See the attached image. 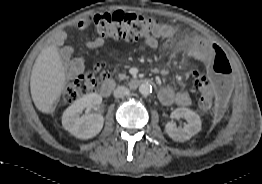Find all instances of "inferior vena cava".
<instances>
[{
	"label": "inferior vena cava",
	"instance_id": "602c4592",
	"mask_svg": "<svg viewBox=\"0 0 262 184\" xmlns=\"http://www.w3.org/2000/svg\"><path fill=\"white\" fill-rule=\"evenodd\" d=\"M130 93L129 89L124 87V86H118L115 90H114V97L115 98H123L125 96H128Z\"/></svg>",
	"mask_w": 262,
	"mask_h": 184
}]
</instances>
